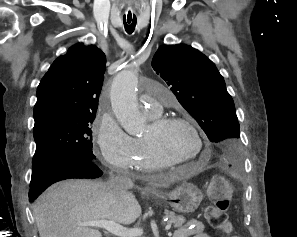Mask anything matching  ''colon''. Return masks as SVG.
Masks as SVG:
<instances>
[{
	"label": "colon",
	"mask_w": 297,
	"mask_h": 237,
	"mask_svg": "<svg viewBox=\"0 0 297 237\" xmlns=\"http://www.w3.org/2000/svg\"><path fill=\"white\" fill-rule=\"evenodd\" d=\"M209 193L212 204L206 209V218L209 225L216 230L231 234L233 226L228 219V210L232 201V185L225 176L216 177L210 184ZM231 237H240L231 235Z\"/></svg>",
	"instance_id": "5ec220e1"
}]
</instances>
